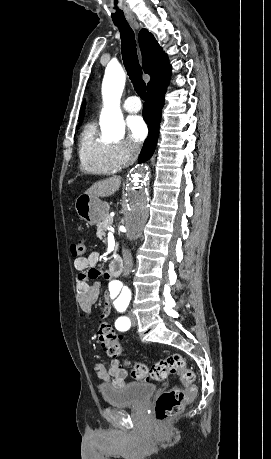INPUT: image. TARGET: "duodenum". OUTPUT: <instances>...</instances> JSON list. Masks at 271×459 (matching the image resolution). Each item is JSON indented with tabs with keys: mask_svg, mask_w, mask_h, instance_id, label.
Returning <instances> with one entry per match:
<instances>
[{
	"mask_svg": "<svg viewBox=\"0 0 271 459\" xmlns=\"http://www.w3.org/2000/svg\"><path fill=\"white\" fill-rule=\"evenodd\" d=\"M123 262L120 258H115L110 265V274L113 277H118L123 272Z\"/></svg>",
	"mask_w": 271,
	"mask_h": 459,
	"instance_id": "1",
	"label": "duodenum"
}]
</instances>
